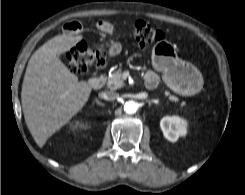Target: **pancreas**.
<instances>
[{"label": "pancreas", "mask_w": 245, "mask_h": 195, "mask_svg": "<svg viewBox=\"0 0 245 195\" xmlns=\"http://www.w3.org/2000/svg\"><path fill=\"white\" fill-rule=\"evenodd\" d=\"M107 86L110 89H118L124 86V80H123V75L122 72L120 70H117L116 72H114L111 77L108 78L107 80ZM165 95L169 97V100L173 101V102H178L179 99L175 96H173L169 91H165ZM185 103L182 102L181 103V107H184Z\"/></svg>", "instance_id": "1"}]
</instances>
